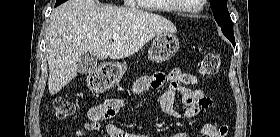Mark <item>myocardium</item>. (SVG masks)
I'll return each mask as SVG.
<instances>
[{
	"label": "myocardium",
	"instance_id": "myocardium-1",
	"mask_svg": "<svg viewBox=\"0 0 280 137\" xmlns=\"http://www.w3.org/2000/svg\"><path fill=\"white\" fill-rule=\"evenodd\" d=\"M199 2H200V6L202 7L204 0H199ZM178 7H180V6H175V8H178ZM201 7L197 8V9H185L184 11H187L189 13H199L201 11Z\"/></svg>",
	"mask_w": 280,
	"mask_h": 137
}]
</instances>
